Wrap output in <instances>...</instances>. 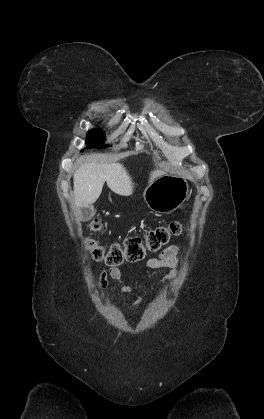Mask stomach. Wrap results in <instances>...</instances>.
Returning a JSON list of instances; mask_svg holds the SVG:
<instances>
[{
    "instance_id": "obj_1",
    "label": "stomach",
    "mask_w": 264,
    "mask_h": 419,
    "mask_svg": "<svg viewBox=\"0 0 264 419\" xmlns=\"http://www.w3.org/2000/svg\"><path fill=\"white\" fill-rule=\"evenodd\" d=\"M189 193L187 180L179 175H162L151 182L143 193L147 206L157 213H170L180 208Z\"/></svg>"
}]
</instances>
